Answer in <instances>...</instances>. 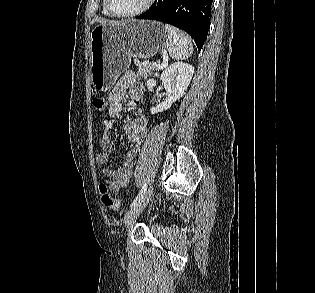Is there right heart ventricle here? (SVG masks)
<instances>
[{"label":"right heart ventricle","instance_id":"1","mask_svg":"<svg viewBox=\"0 0 315 293\" xmlns=\"http://www.w3.org/2000/svg\"><path fill=\"white\" fill-rule=\"evenodd\" d=\"M101 8H102V12H103L104 15H106V16H112V15L109 13V11L107 10L105 0H102Z\"/></svg>","mask_w":315,"mask_h":293}]
</instances>
